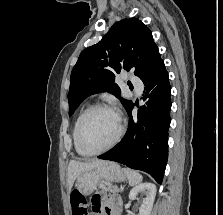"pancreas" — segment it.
<instances>
[{
    "label": "pancreas",
    "mask_w": 223,
    "mask_h": 215,
    "mask_svg": "<svg viewBox=\"0 0 223 215\" xmlns=\"http://www.w3.org/2000/svg\"><path fill=\"white\" fill-rule=\"evenodd\" d=\"M101 186V189H104V191H121L118 185H113V183L102 184Z\"/></svg>",
    "instance_id": "pancreas-1"
}]
</instances>
